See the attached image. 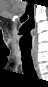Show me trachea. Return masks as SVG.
<instances>
[{
    "label": "trachea",
    "instance_id": "trachea-1",
    "mask_svg": "<svg viewBox=\"0 0 48 87\" xmlns=\"http://www.w3.org/2000/svg\"><path fill=\"white\" fill-rule=\"evenodd\" d=\"M21 55L24 73L31 78H37L36 71L33 67L31 52L29 50L21 49Z\"/></svg>",
    "mask_w": 48,
    "mask_h": 87
}]
</instances>
